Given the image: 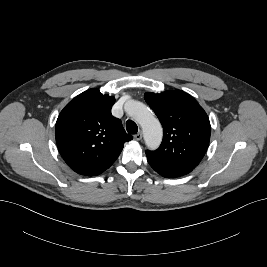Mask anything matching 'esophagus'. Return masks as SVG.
<instances>
[{"label":"esophagus","mask_w":267,"mask_h":267,"mask_svg":"<svg viewBox=\"0 0 267 267\" xmlns=\"http://www.w3.org/2000/svg\"><path fill=\"white\" fill-rule=\"evenodd\" d=\"M134 139L139 141L142 139V133L139 131L135 136H134Z\"/></svg>","instance_id":"1"}]
</instances>
